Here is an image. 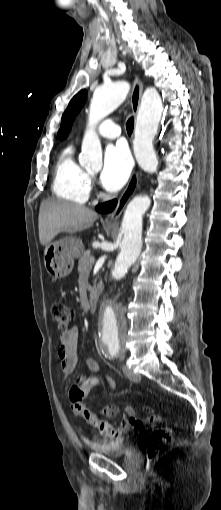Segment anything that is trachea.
<instances>
[{
    "instance_id": "3493384b",
    "label": "trachea",
    "mask_w": 221,
    "mask_h": 510,
    "mask_svg": "<svg viewBox=\"0 0 221 510\" xmlns=\"http://www.w3.org/2000/svg\"><path fill=\"white\" fill-rule=\"evenodd\" d=\"M134 128V119L133 117L129 118V120L126 123V129L128 134H131Z\"/></svg>"
}]
</instances>
